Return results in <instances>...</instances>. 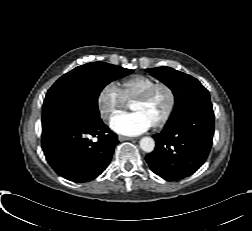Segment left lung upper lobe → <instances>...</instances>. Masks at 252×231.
Here are the masks:
<instances>
[{"instance_id": "1", "label": "left lung upper lobe", "mask_w": 252, "mask_h": 231, "mask_svg": "<svg viewBox=\"0 0 252 231\" xmlns=\"http://www.w3.org/2000/svg\"><path fill=\"white\" fill-rule=\"evenodd\" d=\"M148 72L173 91L175 108L172 117L192 107L212 106L208 90L196 78L170 67L151 68Z\"/></svg>"}]
</instances>
